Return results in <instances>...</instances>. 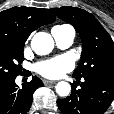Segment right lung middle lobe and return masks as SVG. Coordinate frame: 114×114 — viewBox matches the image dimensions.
Returning a JSON list of instances; mask_svg holds the SVG:
<instances>
[{
    "label": "right lung middle lobe",
    "instance_id": "dd1d6c3e",
    "mask_svg": "<svg viewBox=\"0 0 114 114\" xmlns=\"http://www.w3.org/2000/svg\"><path fill=\"white\" fill-rule=\"evenodd\" d=\"M23 47V43L0 37V81L21 75Z\"/></svg>",
    "mask_w": 114,
    "mask_h": 114
}]
</instances>
